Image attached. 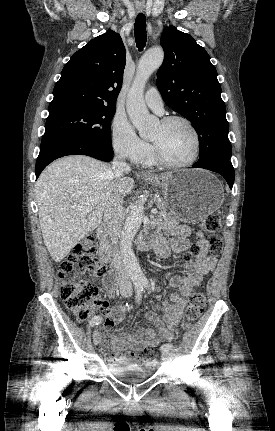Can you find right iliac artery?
Listing matches in <instances>:
<instances>
[{"label": "right iliac artery", "mask_w": 275, "mask_h": 431, "mask_svg": "<svg viewBox=\"0 0 275 431\" xmlns=\"http://www.w3.org/2000/svg\"><path fill=\"white\" fill-rule=\"evenodd\" d=\"M135 290H136V300H137V302H140L141 296H142L141 294L143 291V285L141 283L136 284ZM101 322H102L101 316H94L92 318V320L90 321V326L99 325ZM95 332H97V331H95Z\"/></svg>", "instance_id": "obj_1"}]
</instances>
